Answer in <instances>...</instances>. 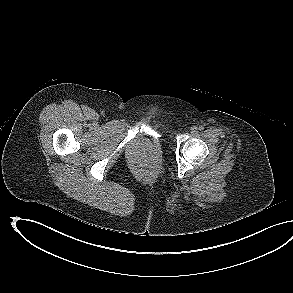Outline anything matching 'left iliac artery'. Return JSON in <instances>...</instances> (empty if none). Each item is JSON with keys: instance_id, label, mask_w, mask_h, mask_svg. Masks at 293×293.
<instances>
[{"instance_id": "left-iliac-artery-1", "label": "left iliac artery", "mask_w": 293, "mask_h": 293, "mask_svg": "<svg viewBox=\"0 0 293 293\" xmlns=\"http://www.w3.org/2000/svg\"><path fill=\"white\" fill-rule=\"evenodd\" d=\"M204 129V127L201 125L199 126V130L202 131Z\"/></svg>"}]
</instances>
